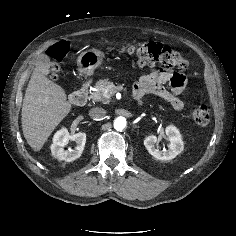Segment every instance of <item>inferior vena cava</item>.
Instances as JSON below:
<instances>
[{
    "label": "inferior vena cava",
    "mask_w": 236,
    "mask_h": 236,
    "mask_svg": "<svg viewBox=\"0 0 236 236\" xmlns=\"http://www.w3.org/2000/svg\"><path fill=\"white\" fill-rule=\"evenodd\" d=\"M106 115V110L101 107H94L89 111V116L93 119H102Z\"/></svg>",
    "instance_id": "inferior-vena-cava-1"
}]
</instances>
